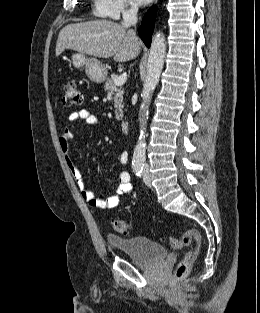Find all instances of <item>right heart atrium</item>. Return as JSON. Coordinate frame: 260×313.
I'll return each instance as SVG.
<instances>
[{"mask_svg": "<svg viewBox=\"0 0 260 313\" xmlns=\"http://www.w3.org/2000/svg\"><path fill=\"white\" fill-rule=\"evenodd\" d=\"M94 13L99 17L119 19L122 15L136 12L132 0H93Z\"/></svg>", "mask_w": 260, "mask_h": 313, "instance_id": "d8ad5b80", "label": "right heart atrium"}]
</instances>
